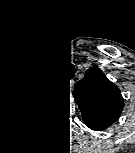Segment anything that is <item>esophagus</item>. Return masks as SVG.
Instances as JSON below:
<instances>
[{"label": "esophagus", "mask_w": 135, "mask_h": 153, "mask_svg": "<svg viewBox=\"0 0 135 153\" xmlns=\"http://www.w3.org/2000/svg\"><path fill=\"white\" fill-rule=\"evenodd\" d=\"M73 82H74V81H73V80H71V81H70V84L72 85V84H73Z\"/></svg>", "instance_id": "esophagus-1"}]
</instances>
